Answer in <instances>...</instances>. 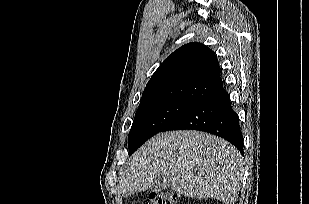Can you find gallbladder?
<instances>
[{"label": "gallbladder", "mask_w": 309, "mask_h": 204, "mask_svg": "<svg viewBox=\"0 0 309 204\" xmlns=\"http://www.w3.org/2000/svg\"><path fill=\"white\" fill-rule=\"evenodd\" d=\"M170 186H171V181L168 178L164 176H159L154 180L151 186V191L161 192L163 190L168 189Z\"/></svg>", "instance_id": "gallbladder-1"}]
</instances>
